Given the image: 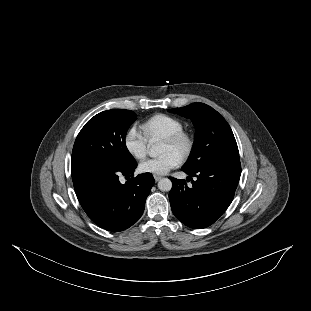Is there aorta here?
Listing matches in <instances>:
<instances>
[{
	"label": "aorta",
	"instance_id": "762f6f07",
	"mask_svg": "<svg viewBox=\"0 0 311 311\" xmlns=\"http://www.w3.org/2000/svg\"><path fill=\"white\" fill-rule=\"evenodd\" d=\"M160 144L158 142H155L153 145H151L149 149V156L150 157H157L161 154L160 151ZM159 190L163 192H168L172 188V182L168 178H162L158 183Z\"/></svg>",
	"mask_w": 311,
	"mask_h": 311
}]
</instances>
